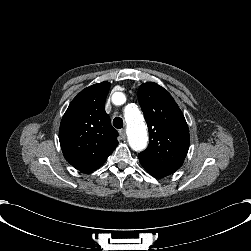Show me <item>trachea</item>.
<instances>
[{"label": "trachea", "instance_id": "3493384b", "mask_svg": "<svg viewBox=\"0 0 251 251\" xmlns=\"http://www.w3.org/2000/svg\"><path fill=\"white\" fill-rule=\"evenodd\" d=\"M113 125L117 129H121L123 127V120L120 117H116L113 120Z\"/></svg>", "mask_w": 251, "mask_h": 251}]
</instances>
